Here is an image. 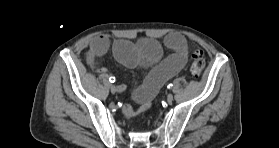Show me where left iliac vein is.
<instances>
[{"label":"left iliac vein","instance_id":"left-iliac-vein-1","mask_svg":"<svg viewBox=\"0 0 279 148\" xmlns=\"http://www.w3.org/2000/svg\"><path fill=\"white\" fill-rule=\"evenodd\" d=\"M173 98H174V97H173L172 94H168V95H167V102H168V103H171V102L173 101Z\"/></svg>","mask_w":279,"mask_h":148}]
</instances>
